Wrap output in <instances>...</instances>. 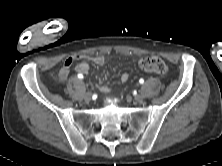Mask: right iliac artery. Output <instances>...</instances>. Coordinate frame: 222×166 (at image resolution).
Here are the masks:
<instances>
[{
  "instance_id": "82829eb1",
  "label": "right iliac artery",
  "mask_w": 222,
  "mask_h": 166,
  "mask_svg": "<svg viewBox=\"0 0 222 166\" xmlns=\"http://www.w3.org/2000/svg\"><path fill=\"white\" fill-rule=\"evenodd\" d=\"M78 78H79V79H83L84 77H83V75H82L81 73H79V74H78Z\"/></svg>"
}]
</instances>
